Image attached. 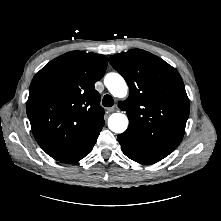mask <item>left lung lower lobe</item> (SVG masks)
Here are the masks:
<instances>
[{
  "mask_svg": "<svg viewBox=\"0 0 221 221\" xmlns=\"http://www.w3.org/2000/svg\"><path fill=\"white\" fill-rule=\"evenodd\" d=\"M123 153L140 164L156 163L167 155L157 153L139 144L127 131L117 136Z\"/></svg>",
  "mask_w": 221,
  "mask_h": 221,
  "instance_id": "left-lung-lower-lobe-1",
  "label": "left lung lower lobe"
}]
</instances>
